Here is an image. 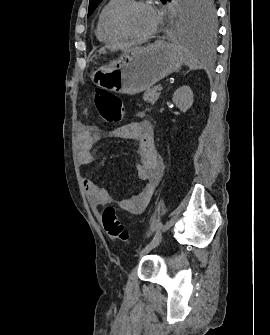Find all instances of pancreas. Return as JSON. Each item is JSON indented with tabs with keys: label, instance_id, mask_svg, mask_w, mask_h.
Returning a JSON list of instances; mask_svg holds the SVG:
<instances>
[{
	"label": "pancreas",
	"instance_id": "cf45deb5",
	"mask_svg": "<svg viewBox=\"0 0 270 335\" xmlns=\"http://www.w3.org/2000/svg\"><path fill=\"white\" fill-rule=\"evenodd\" d=\"M157 87L159 86H154V88H151V90H146V92H144V102H148V104H155V102H157L160 96V94L157 93Z\"/></svg>",
	"mask_w": 270,
	"mask_h": 335
}]
</instances>
